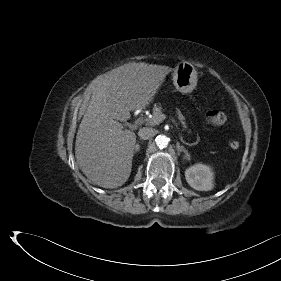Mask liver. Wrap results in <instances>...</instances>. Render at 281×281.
<instances>
[{
    "instance_id": "liver-1",
    "label": "liver",
    "mask_w": 281,
    "mask_h": 281,
    "mask_svg": "<svg viewBox=\"0 0 281 281\" xmlns=\"http://www.w3.org/2000/svg\"><path fill=\"white\" fill-rule=\"evenodd\" d=\"M172 71L168 66L128 63L99 76L75 142L76 161L85 176L103 188H118L129 178L136 143L119 121L144 109Z\"/></svg>"
}]
</instances>
